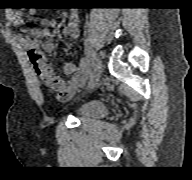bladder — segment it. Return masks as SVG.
Returning a JSON list of instances; mask_svg holds the SVG:
<instances>
[{
	"label": "bladder",
	"instance_id": "obj_1",
	"mask_svg": "<svg viewBox=\"0 0 192 180\" xmlns=\"http://www.w3.org/2000/svg\"><path fill=\"white\" fill-rule=\"evenodd\" d=\"M108 113L106 104L99 99H91L80 103L74 110L79 118H102Z\"/></svg>",
	"mask_w": 192,
	"mask_h": 180
}]
</instances>
